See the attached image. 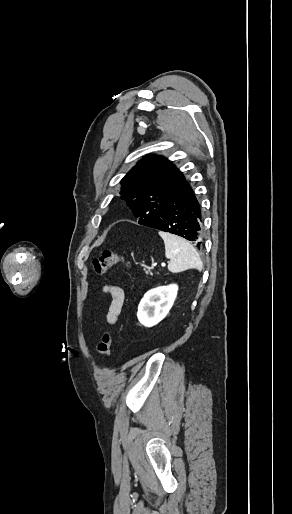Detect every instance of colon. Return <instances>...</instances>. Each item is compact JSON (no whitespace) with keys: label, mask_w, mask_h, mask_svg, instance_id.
Wrapping results in <instances>:
<instances>
[{"label":"colon","mask_w":292,"mask_h":514,"mask_svg":"<svg viewBox=\"0 0 292 514\" xmlns=\"http://www.w3.org/2000/svg\"><path fill=\"white\" fill-rule=\"evenodd\" d=\"M126 258L110 247L103 249L102 253L92 261V268L95 274L102 275L110 268L126 263ZM114 343V335L111 330H106L97 343L96 350L99 356L108 358Z\"/></svg>","instance_id":"colon-1"}]
</instances>
